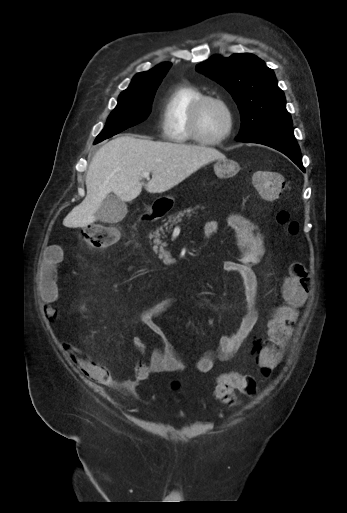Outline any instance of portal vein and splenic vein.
Wrapping results in <instances>:
<instances>
[{"label":"portal vein and splenic vein","mask_w":347,"mask_h":513,"mask_svg":"<svg viewBox=\"0 0 347 513\" xmlns=\"http://www.w3.org/2000/svg\"><path fill=\"white\" fill-rule=\"evenodd\" d=\"M142 177L143 178H146V179H149V173L148 172H145L142 174Z\"/></svg>","instance_id":"18ae733b"}]
</instances>
